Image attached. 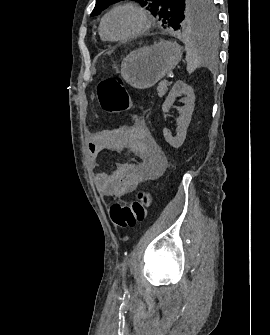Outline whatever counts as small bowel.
<instances>
[{"instance_id":"c3829d8e","label":"small bowel","mask_w":270,"mask_h":335,"mask_svg":"<svg viewBox=\"0 0 270 335\" xmlns=\"http://www.w3.org/2000/svg\"><path fill=\"white\" fill-rule=\"evenodd\" d=\"M107 148H127L139 159L118 163L111 171L96 175L98 189L111 197L132 193L142 181L158 177L167 166L165 153L142 122L120 126L110 133L91 134L89 153L93 167L98 166V156Z\"/></svg>"}]
</instances>
